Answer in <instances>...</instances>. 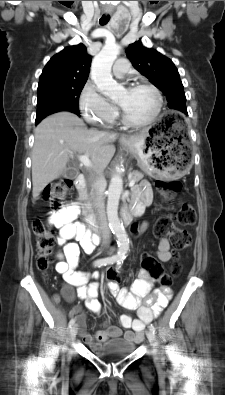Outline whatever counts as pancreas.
Instances as JSON below:
<instances>
[{"instance_id":"1","label":"pancreas","mask_w":225,"mask_h":395,"mask_svg":"<svg viewBox=\"0 0 225 395\" xmlns=\"http://www.w3.org/2000/svg\"><path fill=\"white\" fill-rule=\"evenodd\" d=\"M143 176L144 175L141 172L135 171V172H133L131 174V180H134L135 182H138V181H140L143 178ZM79 194H80V197L82 199L86 200V202H87L86 203V207L89 209L90 212H92L93 205L91 203V200H92L91 196H92L93 193L90 192L88 194L87 189H79Z\"/></svg>"}]
</instances>
